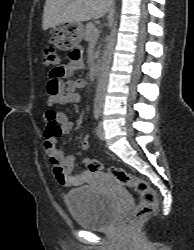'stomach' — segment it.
<instances>
[{
	"mask_svg": "<svg viewBox=\"0 0 194 250\" xmlns=\"http://www.w3.org/2000/svg\"><path fill=\"white\" fill-rule=\"evenodd\" d=\"M53 44L62 51L75 48L84 37V26L82 23H67L52 28Z\"/></svg>",
	"mask_w": 194,
	"mask_h": 250,
	"instance_id": "stomach-1",
	"label": "stomach"
}]
</instances>
